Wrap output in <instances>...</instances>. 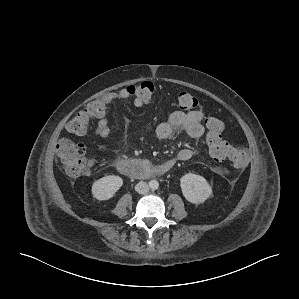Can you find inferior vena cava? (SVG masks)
<instances>
[{
    "label": "inferior vena cava",
    "instance_id": "602c4592",
    "mask_svg": "<svg viewBox=\"0 0 299 299\" xmlns=\"http://www.w3.org/2000/svg\"><path fill=\"white\" fill-rule=\"evenodd\" d=\"M135 191L139 194H145L149 191V186L146 182L141 181L135 186Z\"/></svg>",
    "mask_w": 299,
    "mask_h": 299
}]
</instances>
